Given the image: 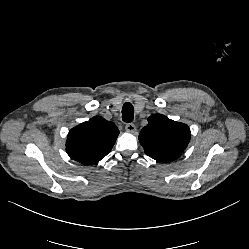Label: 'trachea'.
Here are the masks:
<instances>
[{"instance_id":"1","label":"trachea","mask_w":249,"mask_h":249,"mask_svg":"<svg viewBox=\"0 0 249 249\" xmlns=\"http://www.w3.org/2000/svg\"><path fill=\"white\" fill-rule=\"evenodd\" d=\"M134 118V107L130 102H125L122 108V119L124 122L130 123Z\"/></svg>"}]
</instances>
